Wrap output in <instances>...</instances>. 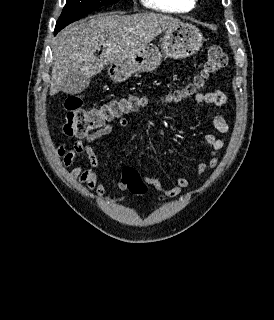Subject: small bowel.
Returning a JSON list of instances; mask_svg holds the SVG:
<instances>
[{
	"label": "small bowel",
	"instance_id": "c3829d8e",
	"mask_svg": "<svg viewBox=\"0 0 274 320\" xmlns=\"http://www.w3.org/2000/svg\"><path fill=\"white\" fill-rule=\"evenodd\" d=\"M226 102L227 97L220 90L207 93H198L194 96V103L196 106L205 104L223 106L226 104ZM128 105L130 108H132L131 104ZM211 122L219 133H228L230 125L222 115L218 113L213 114ZM100 124L102 127L98 130L77 139L74 142L72 149L65 150L62 146L59 147L57 155L59 158H61L65 167L71 166L77 158H85L91 168L86 169L82 165H77L72 168L70 172L71 177L79 180L82 184L86 185L91 192H94L108 203H119L123 200V198L110 196L107 193L105 185L99 180L96 172L94 171V169L99 167L100 162L92 147V143L99 139L110 136L116 129H128L129 122L126 118L119 117L116 125L107 123L105 119H102ZM204 139L208 146L210 159L208 162L200 161L197 164L196 176L198 178L202 177L208 169L215 168L219 164L221 151L225 145V138L217 137L211 133L205 134ZM144 181L159 193L160 200L176 198L182 194L183 190L190 186L189 180L185 177H177L175 179L176 185L173 187H166L162 183L161 179L154 174L145 175ZM116 187L120 191H125L127 189V186L122 181L117 182Z\"/></svg>",
	"mask_w": 274,
	"mask_h": 320
}]
</instances>
